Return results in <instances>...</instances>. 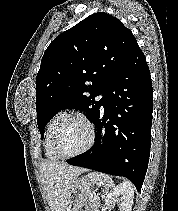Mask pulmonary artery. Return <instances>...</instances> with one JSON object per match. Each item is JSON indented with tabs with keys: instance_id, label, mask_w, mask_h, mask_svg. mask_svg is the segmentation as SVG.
Segmentation results:
<instances>
[{
	"instance_id": "e3ab8cb5",
	"label": "pulmonary artery",
	"mask_w": 178,
	"mask_h": 211,
	"mask_svg": "<svg viewBox=\"0 0 178 211\" xmlns=\"http://www.w3.org/2000/svg\"><path fill=\"white\" fill-rule=\"evenodd\" d=\"M104 97V95H101L100 98Z\"/></svg>"
}]
</instances>
